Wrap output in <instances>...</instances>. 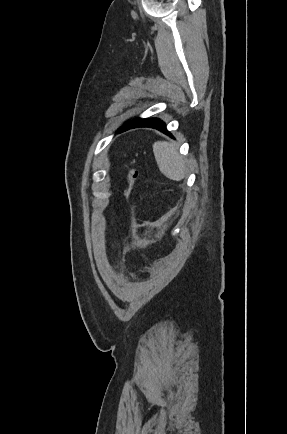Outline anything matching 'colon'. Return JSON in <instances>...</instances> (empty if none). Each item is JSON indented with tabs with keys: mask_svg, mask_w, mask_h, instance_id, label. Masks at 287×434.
<instances>
[{
	"mask_svg": "<svg viewBox=\"0 0 287 434\" xmlns=\"http://www.w3.org/2000/svg\"><path fill=\"white\" fill-rule=\"evenodd\" d=\"M136 177H137L136 169L134 168L129 169L125 177V184L130 185L135 180Z\"/></svg>",
	"mask_w": 287,
	"mask_h": 434,
	"instance_id": "5ec220e1",
	"label": "colon"
}]
</instances>
